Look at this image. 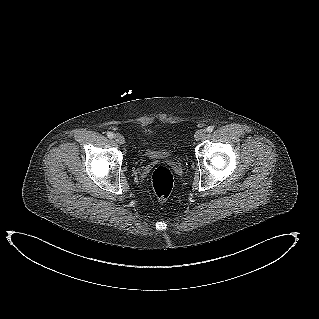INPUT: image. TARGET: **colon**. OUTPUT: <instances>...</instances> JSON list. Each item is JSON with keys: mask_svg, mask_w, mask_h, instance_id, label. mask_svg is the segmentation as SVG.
Here are the masks:
<instances>
[{"mask_svg": "<svg viewBox=\"0 0 319 319\" xmlns=\"http://www.w3.org/2000/svg\"><path fill=\"white\" fill-rule=\"evenodd\" d=\"M151 183L157 198L166 200L174 187V175L166 166H158L152 172Z\"/></svg>", "mask_w": 319, "mask_h": 319, "instance_id": "5ec220e1", "label": "colon"}]
</instances>
